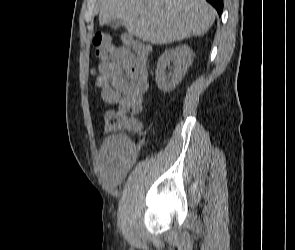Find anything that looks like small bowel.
Listing matches in <instances>:
<instances>
[{
  "label": "small bowel",
  "instance_id": "1",
  "mask_svg": "<svg viewBox=\"0 0 295 250\" xmlns=\"http://www.w3.org/2000/svg\"><path fill=\"white\" fill-rule=\"evenodd\" d=\"M147 61L148 51L135 55L125 46L117 47L111 69L96 79L101 102L141 111L149 87ZM128 151V141L122 135L111 136L102 144L101 165L111 180L118 181L126 173Z\"/></svg>",
  "mask_w": 295,
  "mask_h": 250
}]
</instances>
